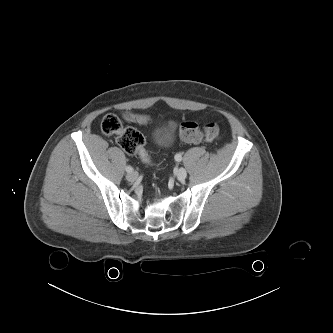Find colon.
<instances>
[{
    "instance_id": "obj_1",
    "label": "colon",
    "mask_w": 333,
    "mask_h": 333,
    "mask_svg": "<svg viewBox=\"0 0 333 333\" xmlns=\"http://www.w3.org/2000/svg\"><path fill=\"white\" fill-rule=\"evenodd\" d=\"M125 118L131 122L145 123L148 118L142 115L127 113ZM101 130L105 135L116 136L118 145L128 154L138 155L145 163H150V157L144 147L145 138L133 127L123 128L120 118L112 113L106 114L101 121ZM179 136L186 142L198 143L212 141L219 135L217 123L209 122L201 129L196 123L186 121L179 125Z\"/></svg>"
}]
</instances>
